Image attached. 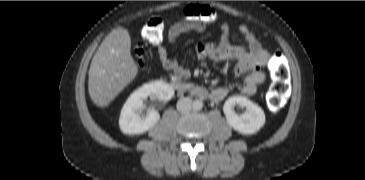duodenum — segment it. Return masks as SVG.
Instances as JSON below:
<instances>
[{
	"mask_svg": "<svg viewBox=\"0 0 365 180\" xmlns=\"http://www.w3.org/2000/svg\"><path fill=\"white\" fill-rule=\"evenodd\" d=\"M171 86L178 92V93H191L201 98H207L208 94L200 87L193 86L181 81H174L172 82Z\"/></svg>",
	"mask_w": 365,
	"mask_h": 180,
	"instance_id": "410a0bca",
	"label": "duodenum"
}]
</instances>
